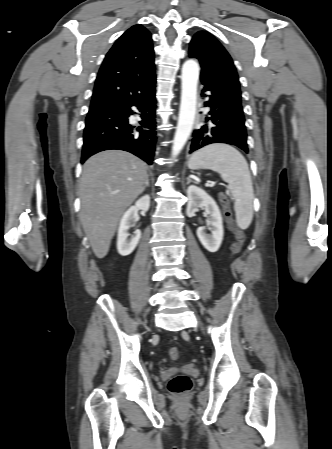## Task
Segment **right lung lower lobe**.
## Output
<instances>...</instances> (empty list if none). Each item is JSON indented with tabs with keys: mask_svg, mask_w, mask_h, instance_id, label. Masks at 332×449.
<instances>
[{
	"mask_svg": "<svg viewBox=\"0 0 332 449\" xmlns=\"http://www.w3.org/2000/svg\"><path fill=\"white\" fill-rule=\"evenodd\" d=\"M155 104L154 89L144 97L116 107L89 112L85 122L81 163L100 151L118 149L133 153L151 165L156 143ZM134 114H139L142 119L139 126L128 122V117Z\"/></svg>",
	"mask_w": 332,
	"mask_h": 449,
	"instance_id": "98d812e1",
	"label": "right lung lower lobe"
}]
</instances>
